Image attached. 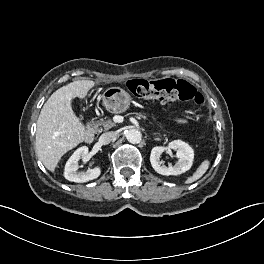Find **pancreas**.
Segmentation results:
<instances>
[{"label": "pancreas", "instance_id": "cf45deb5", "mask_svg": "<svg viewBox=\"0 0 264 264\" xmlns=\"http://www.w3.org/2000/svg\"><path fill=\"white\" fill-rule=\"evenodd\" d=\"M140 117L146 118L145 114H140ZM116 124L109 118L105 117L104 119H100L98 121H92L89 124V128L96 134L102 133L103 131H107L112 127H115Z\"/></svg>", "mask_w": 264, "mask_h": 264}]
</instances>
